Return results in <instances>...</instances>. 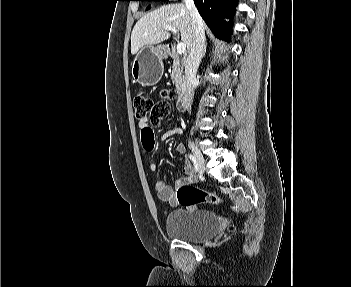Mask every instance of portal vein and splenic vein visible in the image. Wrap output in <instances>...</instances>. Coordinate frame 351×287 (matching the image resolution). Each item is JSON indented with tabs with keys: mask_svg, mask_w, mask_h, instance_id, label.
Segmentation results:
<instances>
[{
	"mask_svg": "<svg viewBox=\"0 0 351 287\" xmlns=\"http://www.w3.org/2000/svg\"><path fill=\"white\" fill-rule=\"evenodd\" d=\"M166 30L173 32L174 34L177 33V29L172 27V26H166ZM186 51V45L183 42H180L177 44V53L178 54H183Z\"/></svg>",
	"mask_w": 351,
	"mask_h": 287,
	"instance_id": "18ae733b",
	"label": "portal vein and splenic vein"
}]
</instances>
